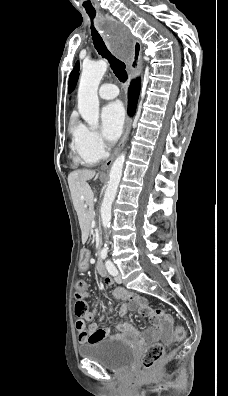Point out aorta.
Masks as SVG:
<instances>
[{"instance_id": "1", "label": "aorta", "mask_w": 228, "mask_h": 396, "mask_svg": "<svg viewBox=\"0 0 228 396\" xmlns=\"http://www.w3.org/2000/svg\"><path fill=\"white\" fill-rule=\"evenodd\" d=\"M107 67L108 63L105 60L83 65L78 88V111L91 129H96L99 124L98 87ZM124 161L125 154L122 153L116 158L110 169V179L100 210L102 225L105 230L110 227L112 203L121 180ZM105 238L108 239L107 234ZM104 248L107 249V244L104 245Z\"/></svg>"}]
</instances>
